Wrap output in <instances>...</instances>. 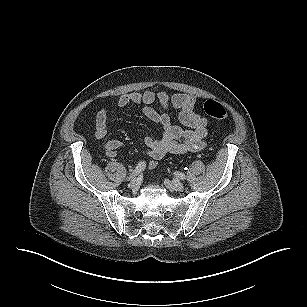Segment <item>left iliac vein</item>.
<instances>
[{
  "instance_id": "left-iliac-vein-1",
  "label": "left iliac vein",
  "mask_w": 307,
  "mask_h": 307,
  "mask_svg": "<svg viewBox=\"0 0 307 307\" xmlns=\"http://www.w3.org/2000/svg\"><path fill=\"white\" fill-rule=\"evenodd\" d=\"M166 187L170 191H183L184 190V185L178 180H165L164 181Z\"/></svg>"
}]
</instances>
